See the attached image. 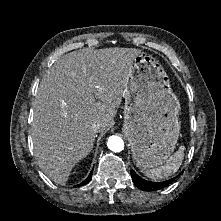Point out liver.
Instances as JSON below:
<instances>
[{"label": "liver", "instance_id": "liver-1", "mask_svg": "<svg viewBox=\"0 0 221 221\" xmlns=\"http://www.w3.org/2000/svg\"><path fill=\"white\" fill-rule=\"evenodd\" d=\"M136 48H85L63 55L43 76L33 104L31 138L41 170L66 184L92 150L97 132L113 125ZM102 124L98 131L92 125Z\"/></svg>", "mask_w": 221, "mask_h": 221}]
</instances>
